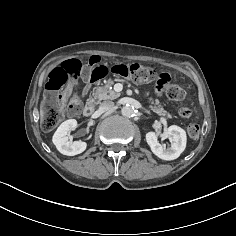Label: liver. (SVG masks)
I'll use <instances>...</instances> for the list:
<instances>
[{
	"mask_svg": "<svg viewBox=\"0 0 236 236\" xmlns=\"http://www.w3.org/2000/svg\"><path fill=\"white\" fill-rule=\"evenodd\" d=\"M43 117H44V110H43V108L41 107V109H40V120H41V123L43 122Z\"/></svg>",
	"mask_w": 236,
	"mask_h": 236,
	"instance_id": "6515ba94",
	"label": "liver"
}]
</instances>
